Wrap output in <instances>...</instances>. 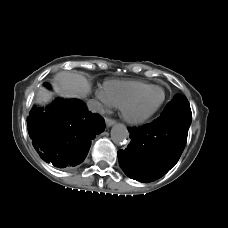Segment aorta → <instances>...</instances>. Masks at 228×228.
<instances>
[{
	"mask_svg": "<svg viewBox=\"0 0 228 228\" xmlns=\"http://www.w3.org/2000/svg\"><path fill=\"white\" fill-rule=\"evenodd\" d=\"M129 138V132L125 125L115 124L111 129V139L117 145H124Z\"/></svg>",
	"mask_w": 228,
	"mask_h": 228,
	"instance_id": "aorta-1",
	"label": "aorta"
}]
</instances>
